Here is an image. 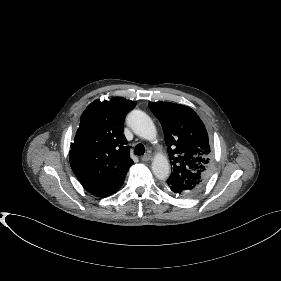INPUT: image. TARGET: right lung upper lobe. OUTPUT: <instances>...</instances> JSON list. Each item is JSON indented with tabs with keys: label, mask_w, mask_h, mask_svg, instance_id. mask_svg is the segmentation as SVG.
<instances>
[{
	"label": "right lung upper lobe",
	"mask_w": 281,
	"mask_h": 281,
	"mask_svg": "<svg viewBox=\"0 0 281 281\" xmlns=\"http://www.w3.org/2000/svg\"><path fill=\"white\" fill-rule=\"evenodd\" d=\"M135 101L122 97L95 100L84 111L74 143L70 165L82 186L91 194L106 197L123 184L133 164L123 123Z\"/></svg>",
	"instance_id": "obj_1"
}]
</instances>
